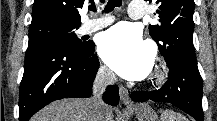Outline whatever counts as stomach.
I'll return each mask as SVG.
<instances>
[{
  "mask_svg": "<svg viewBox=\"0 0 217 121\" xmlns=\"http://www.w3.org/2000/svg\"><path fill=\"white\" fill-rule=\"evenodd\" d=\"M138 121H158L156 112L148 104H139L131 109Z\"/></svg>",
  "mask_w": 217,
  "mask_h": 121,
  "instance_id": "stomach-1",
  "label": "stomach"
}]
</instances>
